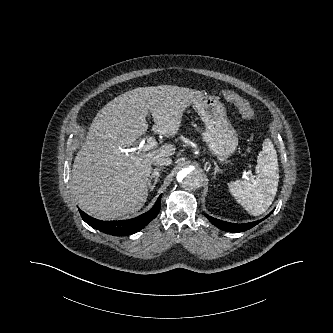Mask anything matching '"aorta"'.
I'll use <instances>...</instances> for the list:
<instances>
[{
  "mask_svg": "<svg viewBox=\"0 0 333 333\" xmlns=\"http://www.w3.org/2000/svg\"><path fill=\"white\" fill-rule=\"evenodd\" d=\"M177 180L186 190H197L202 186L203 177L198 170L191 167L183 168L177 174Z\"/></svg>",
  "mask_w": 333,
  "mask_h": 333,
  "instance_id": "1",
  "label": "aorta"
}]
</instances>
